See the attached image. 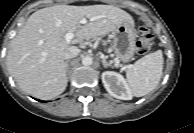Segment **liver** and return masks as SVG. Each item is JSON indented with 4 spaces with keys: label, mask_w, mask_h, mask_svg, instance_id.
<instances>
[{
    "label": "liver",
    "mask_w": 194,
    "mask_h": 133,
    "mask_svg": "<svg viewBox=\"0 0 194 133\" xmlns=\"http://www.w3.org/2000/svg\"><path fill=\"white\" fill-rule=\"evenodd\" d=\"M86 17L89 23L82 24ZM124 22L133 23L126 11L111 5H56L34 12L12 39L6 64L9 73L26 93L50 100L67 86L64 54L71 44L82 43L114 31ZM72 32L70 43L64 36Z\"/></svg>",
    "instance_id": "1"
}]
</instances>
